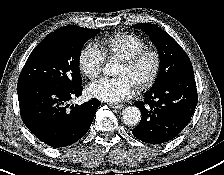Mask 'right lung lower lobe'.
I'll list each match as a JSON object with an SVG mask.
<instances>
[{"label":"right lung lower lobe","mask_w":224,"mask_h":175,"mask_svg":"<svg viewBox=\"0 0 224 175\" xmlns=\"http://www.w3.org/2000/svg\"><path fill=\"white\" fill-rule=\"evenodd\" d=\"M82 86L65 88L58 85L28 81L17 84L20 114L26 127L43 143L54 147L69 146L89 130L99 100L70 105L79 97Z\"/></svg>","instance_id":"98d812e1"}]
</instances>
